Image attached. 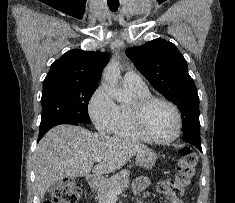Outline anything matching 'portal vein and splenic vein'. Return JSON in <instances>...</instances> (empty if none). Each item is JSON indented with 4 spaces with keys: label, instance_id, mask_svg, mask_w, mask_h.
I'll return each instance as SVG.
<instances>
[{
    "label": "portal vein and splenic vein",
    "instance_id": "portal-vein-and-splenic-vein-1",
    "mask_svg": "<svg viewBox=\"0 0 235 203\" xmlns=\"http://www.w3.org/2000/svg\"><path fill=\"white\" fill-rule=\"evenodd\" d=\"M101 160H102L101 157H97V158L95 159L96 162H100ZM121 192H122V190L117 191V192H115V193L112 192V193L109 195V199H110V200H116L117 195L120 194Z\"/></svg>",
    "mask_w": 235,
    "mask_h": 203
}]
</instances>
